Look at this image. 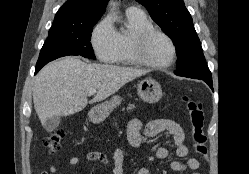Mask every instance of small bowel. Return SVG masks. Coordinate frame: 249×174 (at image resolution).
<instances>
[{
  "instance_id": "small-bowel-1",
  "label": "small bowel",
  "mask_w": 249,
  "mask_h": 174,
  "mask_svg": "<svg viewBox=\"0 0 249 174\" xmlns=\"http://www.w3.org/2000/svg\"><path fill=\"white\" fill-rule=\"evenodd\" d=\"M167 131L172 137V142L175 146V153L178 157L184 158L188 155V148L185 145V133L182 127L171 119L160 118L149 122L143 127L142 123L138 119L132 120L127 129L128 142L133 147L141 146L145 138H151L157 134ZM154 156L158 159H165L169 156L168 149L159 147L155 150ZM87 160L98 161L103 164L110 166L112 174H123L124 173V149L118 148L114 151L112 159L110 160L105 154L93 151L87 154ZM81 158L73 156L70 158L68 165L75 166L79 164ZM199 160L194 157H189L185 163L178 160H174L170 163V169L175 172H182L185 170L193 171V174L199 168ZM58 171L55 165L49 167V172H42L41 174H56ZM136 174H151L149 168H141Z\"/></svg>"
}]
</instances>
